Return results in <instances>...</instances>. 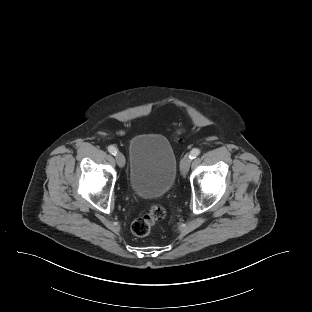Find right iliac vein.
<instances>
[{
  "label": "right iliac vein",
  "instance_id": "1",
  "mask_svg": "<svg viewBox=\"0 0 312 312\" xmlns=\"http://www.w3.org/2000/svg\"><path fill=\"white\" fill-rule=\"evenodd\" d=\"M115 159H116L117 164L120 167H124V165H125V157H124V155L122 153H117L115 155Z\"/></svg>",
  "mask_w": 312,
  "mask_h": 312
}]
</instances>
